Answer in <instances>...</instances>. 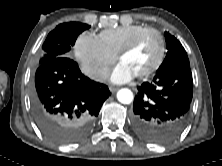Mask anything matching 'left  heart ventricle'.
Here are the masks:
<instances>
[{
	"instance_id": "left-heart-ventricle-1",
	"label": "left heart ventricle",
	"mask_w": 222,
	"mask_h": 166,
	"mask_svg": "<svg viewBox=\"0 0 222 166\" xmlns=\"http://www.w3.org/2000/svg\"><path fill=\"white\" fill-rule=\"evenodd\" d=\"M159 40L155 35H148L134 49L121 59L136 75L149 69L157 60Z\"/></svg>"
}]
</instances>
